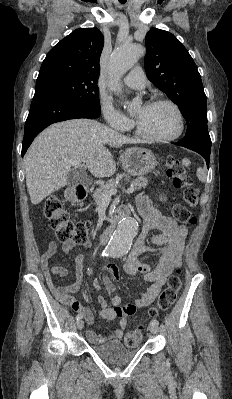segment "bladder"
<instances>
[{"label":"bladder","mask_w":232,"mask_h":399,"mask_svg":"<svg viewBox=\"0 0 232 399\" xmlns=\"http://www.w3.org/2000/svg\"><path fill=\"white\" fill-rule=\"evenodd\" d=\"M93 352L108 363L120 364L134 357L137 350L125 346L119 340H110L91 346Z\"/></svg>","instance_id":"1"}]
</instances>
